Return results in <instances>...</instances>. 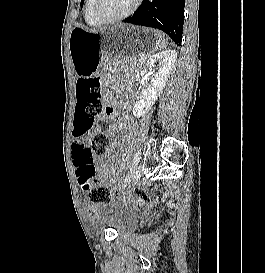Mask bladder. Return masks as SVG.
Here are the masks:
<instances>
[{
  "label": "bladder",
  "mask_w": 265,
  "mask_h": 273,
  "mask_svg": "<svg viewBox=\"0 0 265 273\" xmlns=\"http://www.w3.org/2000/svg\"><path fill=\"white\" fill-rule=\"evenodd\" d=\"M97 220H100L97 218ZM101 224L112 228L118 235H124L134 230L136 218L134 213L129 210H115L103 217Z\"/></svg>",
  "instance_id": "bladder-1"
}]
</instances>
